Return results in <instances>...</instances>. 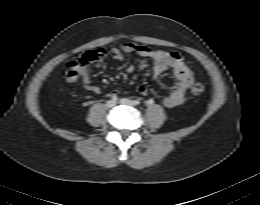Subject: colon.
Returning a JSON list of instances; mask_svg holds the SVG:
<instances>
[{
  "instance_id": "5ec220e1",
  "label": "colon",
  "mask_w": 260,
  "mask_h": 205,
  "mask_svg": "<svg viewBox=\"0 0 260 205\" xmlns=\"http://www.w3.org/2000/svg\"><path fill=\"white\" fill-rule=\"evenodd\" d=\"M105 54L106 50L104 48L87 51L79 57L77 64L81 67H85L89 62L102 58ZM204 91L205 86L199 82L193 83L190 88V92L194 96H200Z\"/></svg>"
}]
</instances>
